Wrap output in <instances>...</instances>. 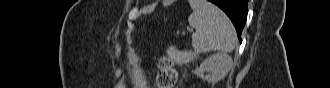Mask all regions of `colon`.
<instances>
[{
  "instance_id": "colon-1",
  "label": "colon",
  "mask_w": 330,
  "mask_h": 88,
  "mask_svg": "<svg viewBox=\"0 0 330 88\" xmlns=\"http://www.w3.org/2000/svg\"><path fill=\"white\" fill-rule=\"evenodd\" d=\"M159 74L157 77V85L159 88H172L176 82L177 74L172 62L166 56L158 61Z\"/></svg>"
}]
</instances>
